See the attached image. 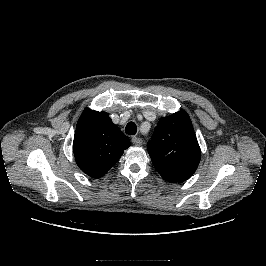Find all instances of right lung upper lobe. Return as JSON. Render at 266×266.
<instances>
[{"label": "right lung upper lobe", "mask_w": 266, "mask_h": 266, "mask_svg": "<svg viewBox=\"0 0 266 266\" xmlns=\"http://www.w3.org/2000/svg\"><path fill=\"white\" fill-rule=\"evenodd\" d=\"M129 146V139L112 123L108 113L86 109L80 116L73 152L77 165L88 176H104Z\"/></svg>", "instance_id": "right-lung-upper-lobe-1"}]
</instances>
